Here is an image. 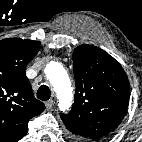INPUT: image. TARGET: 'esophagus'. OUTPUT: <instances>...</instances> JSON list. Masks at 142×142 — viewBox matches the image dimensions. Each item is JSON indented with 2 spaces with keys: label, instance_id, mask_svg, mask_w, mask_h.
<instances>
[{
  "label": "esophagus",
  "instance_id": "esophagus-1",
  "mask_svg": "<svg viewBox=\"0 0 142 142\" xmlns=\"http://www.w3.org/2000/svg\"><path fill=\"white\" fill-rule=\"evenodd\" d=\"M54 105V100L50 99L45 103L46 109L50 110Z\"/></svg>",
  "mask_w": 142,
  "mask_h": 142
}]
</instances>
